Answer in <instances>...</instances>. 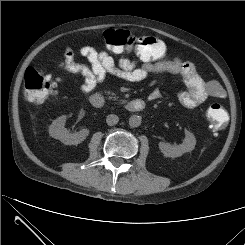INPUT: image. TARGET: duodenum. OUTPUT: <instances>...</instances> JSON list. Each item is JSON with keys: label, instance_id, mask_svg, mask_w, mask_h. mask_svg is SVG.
I'll return each mask as SVG.
<instances>
[{"label": "duodenum", "instance_id": "duodenum-1", "mask_svg": "<svg viewBox=\"0 0 245 245\" xmlns=\"http://www.w3.org/2000/svg\"><path fill=\"white\" fill-rule=\"evenodd\" d=\"M89 103L94 108H102L105 104L104 97L99 93L89 96ZM146 107V102L142 99L131 100L123 105V108L129 112H140Z\"/></svg>", "mask_w": 245, "mask_h": 245}]
</instances>
